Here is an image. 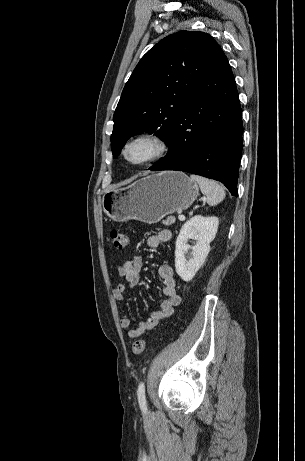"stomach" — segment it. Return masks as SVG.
<instances>
[{
	"label": "stomach",
	"mask_w": 305,
	"mask_h": 461,
	"mask_svg": "<svg viewBox=\"0 0 305 461\" xmlns=\"http://www.w3.org/2000/svg\"><path fill=\"white\" fill-rule=\"evenodd\" d=\"M198 195V185L186 174L163 171L105 193L102 207L117 222L135 219L156 223L168 214L189 208Z\"/></svg>",
	"instance_id": "stomach-1"
}]
</instances>
